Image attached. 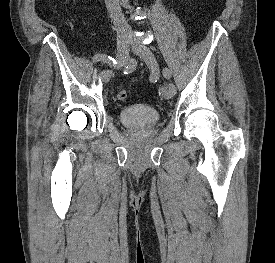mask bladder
Returning a JSON list of instances; mask_svg holds the SVG:
<instances>
[{"mask_svg": "<svg viewBox=\"0 0 275 263\" xmlns=\"http://www.w3.org/2000/svg\"><path fill=\"white\" fill-rule=\"evenodd\" d=\"M118 118L125 126L136 129H146L158 123L160 114L149 106L132 105L120 110Z\"/></svg>", "mask_w": 275, "mask_h": 263, "instance_id": "31cf9c89", "label": "bladder"}]
</instances>
